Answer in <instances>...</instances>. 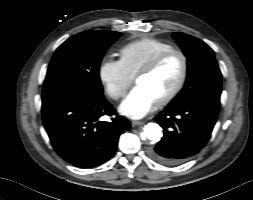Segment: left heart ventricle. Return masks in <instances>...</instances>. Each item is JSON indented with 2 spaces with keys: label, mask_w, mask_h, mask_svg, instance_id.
Returning a JSON list of instances; mask_svg holds the SVG:
<instances>
[{
  "label": "left heart ventricle",
  "mask_w": 253,
  "mask_h": 200,
  "mask_svg": "<svg viewBox=\"0 0 253 200\" xmlns=\"http://www.w3.org/2000/svg\"><path fill=\"white\" fill-rule=\"evenodd\" d=\"M181 71V59L178 56H172L152 74L139 77L136 85L145 88L158 101L173 89Z\"/></svg>",
  "instance_id": "left-heart-ventricle-1"
}]
</instances>
